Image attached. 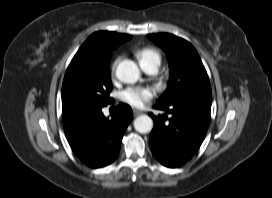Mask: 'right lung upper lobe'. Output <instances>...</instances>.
I'll return each instance as SVG.
<instances>
[{
  "instance_id": "cb5924a9",
  "label": "right lung upper lobe",
  "mask_w": 272,
  "mask_h": 198,
  "mask_svg": "<svg viewBox=\"0 0 272 198\" xmlns=\"http://www.w3.org/2000/svg\"><path fill=\"white\" fill-rule=\"evenodd\" d=\"M131 39V35L98 31L90 35L77 51L67 68L62 85V113L75 110L71 98L73 82L88 72L95 64L111 58L116 46Z\"/></svg>"
}]
</instances>
